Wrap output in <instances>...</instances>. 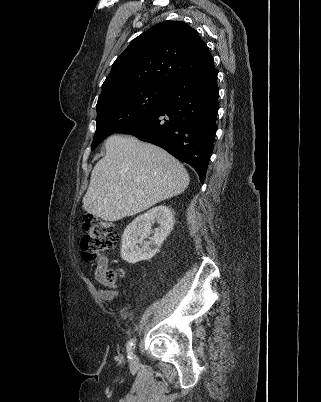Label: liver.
Wrapping results in <instances>:
<instances>
[{
  "label": "liver",
  "instance_id": "obj_1",
  "mask_svg": "<svg viewBox=\"0 0 321 402\" xmlns=\"http://www.w3.org/2000/svg\"><path fill=\"white\" fill-rule=\"evenodd\" d=\"M97 162L83 197V208L115 222L180 195L190 179L184 166L164 149L130 135H113Z\"/></svg>",
  "mask_w": 321,
  "mask_h": 402
}]
</instances>
